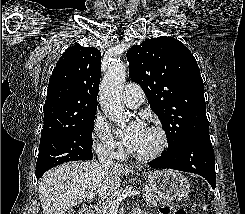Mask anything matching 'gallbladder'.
Listing matches in <instances>:
<instances>
[{
	"label": "gallbladder",
	"mask_w": 245,
	"mask_h": 214,
	"mask_svg": "<svg viewBox=\"0 0 245 214\" xmlns=\"http://www.w3.org/2000/svg\"><path fill=\"white\" fill-rule=\"evenodd\" d=\"M75 210L73 208H70L64 212V214H74Z\"/></svg>",
	"instance_id": "gallbladder-1"
}]
</instances>
